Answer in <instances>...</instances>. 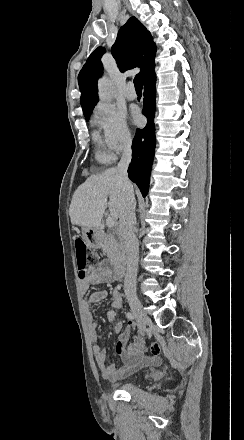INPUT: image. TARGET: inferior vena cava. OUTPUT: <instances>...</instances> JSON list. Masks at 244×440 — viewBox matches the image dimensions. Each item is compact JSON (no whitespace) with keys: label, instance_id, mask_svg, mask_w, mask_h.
Listing matches in <instances>:
<instances>
[{"label":"inferior vena cava","instance_id":"602c4592","mask_svg":"<svg viewBox=\"0 0 244 440\" xmlns=\"http://www.w3.org/2000/svg\"><path fill=\"white\" fill-rule=\"evenodd\" d=\"M132 152L130 148L125 150L116 170L119 182L123 188L124 198L119 220V232L124 240L126 250V274L124 280L125 296L136 294V276L139 256V244L134 234L135 218V196L133 186L128 180V166L131 162Z\"/></svg>","mask_w":244,"mask_h":440}]
</instances>
